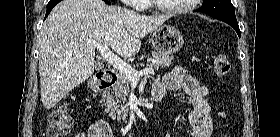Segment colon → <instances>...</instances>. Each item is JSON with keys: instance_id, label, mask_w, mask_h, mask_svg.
I'll return each instance as SVG.
<instances>
[{"instance_id": "obj_1", "label": "colon", "mask_w": 280, "mask_h": 137, "mask_svg": "<svg viewBox=\"0 0 280 137\" xmlns=\"http://www.w3.org/2000/svg\"><path fill=\"white\" fill-rule=\"evenodd\" d=\"M231 68L228 57L224 54H217L213 61V71L218 76H225ZM73 124L72 118L67 114L66 108L60 104L52 109L48 117L47 136L48 137H66ZM101 130L102 136L112 137L106 127L97 126L93 132Z\"/></svg>"}]
</instances>
